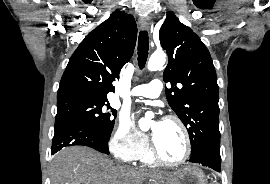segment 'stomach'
I'll list each match as a JSON object with an SVG mask.
<instances>
[{"label":"stomach","mask_w":270,"mask_h":184,"mask_svg":"<svg viewBox=\"0 0 270 184\" xmlns=\"http://www.w3.org/2000/svg\"><path fill=\"white\" fill-rule=\"evenodd\" d=\"M166 184H207L204 173L194 166H185L164 176Z\"/></svg>","instance_id":"stomach-1"}]
</instances>
